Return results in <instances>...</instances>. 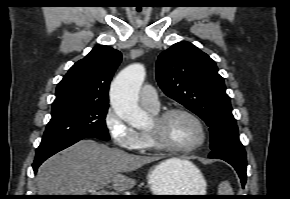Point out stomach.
<instances>
[{
	"label": "stomach",
	"instance_id": "obj_1",
	"mask_svg": "<svg viewBox=\"0 0 290 199\" xmlns=\"http://www.w3.org/2000/svg\"><path fill=\"white\" fill-rule=\"evenodd\" d=\"M147 183L153 195H205L206 193V181L200 170L192 163L171 168L161 162L148 172ZM163 198L197 199L199 197Z\"/></svg>",
	"mask_w": 290,
	"mask_h": 199
}]
</instances>
